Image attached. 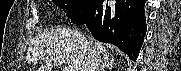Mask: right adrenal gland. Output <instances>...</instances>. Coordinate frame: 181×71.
Wrapping results in <instances>:
<instances>
[{
	"label": "right adrenal gland",
	"instance_id": "2a0ac1e0",
	"mask_svg": "<svg viewBox=\"0 0 181 71\" xmlns=\"http://www.w3.org/2000/svg\"><path fill=\"white\" fill-rule=\"evenodd\" d=\"M114 59L113 58H109V56L104 55L103 56V62L101 65V71H106V69H112L113 65H114Z\"/></svg>",
	"mask_w": 181,
	"mask_h": 71
}]
</instances>
